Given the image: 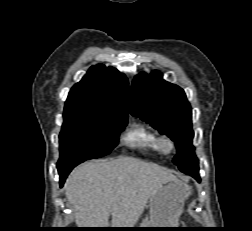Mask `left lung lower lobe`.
I'll return each instance as SVG.
<instances>
[{
	"label": "left lung lower lobe",
	"instance_id": "left-lung-lower-lobe-1",
	"mask_svg": "<svg viewBox=\"0 0 252 231\" xmlns=\"http://www.w3.org/2000/svg\"><path fill=\"white\" fill-rule=\"evenodd\" d=\"M183 173L191 175L192 177H194L198 181L200 180V178H199V168L193 169V170H191V169L185 170V171H183Z\"/></svg>",
	"mask_w": 252,
	"mask_h": 231
}]
</instances>
